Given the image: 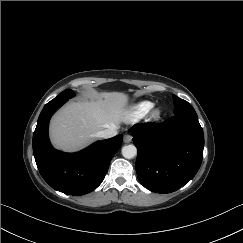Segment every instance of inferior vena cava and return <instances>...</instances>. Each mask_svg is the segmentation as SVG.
<instances>
[{
  "mask_svg": "<svg viewBox=\"0 0 243 243\" xmlns=\"http://www.w3.org/2000/svg\"><path fill=\"white\" fill-rule=\"evenodd\" d=\"M116 135H117V127L115 126L109 127L97 133L98 137L105 138V139L114 137Z\"/></svg>",
  "mask_w": 243,
  "mask_h": 243,
  "instance_id": "602c4592",
  "label": "inferior vena cava"
}]
</instances>
